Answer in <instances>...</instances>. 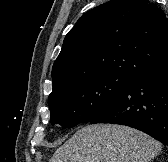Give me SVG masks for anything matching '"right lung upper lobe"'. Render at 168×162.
I'll return each mask as SVG.
<instances>
[{
  "instance_id": "cb5924a9",
  "label": "right lung upper lobe",
  "mask_w": 168,
  "mask_h": 162,
  "mask_svg": "<svg viewBox=\"0 0 168 162\" xmlns=\"http://www.w3.org/2000/svg\"><path fill=\"white\" fill-rule=\"evenodd\" d=\"M168 62V20L149 0H111L66 35L52 68L53 91L107 74L134 77Z\"/></svg>"
}]
</instances>
